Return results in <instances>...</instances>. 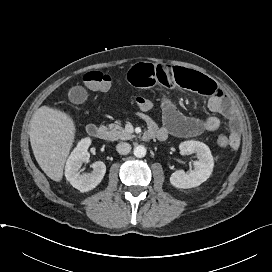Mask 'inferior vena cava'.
<instances>
[{"label":"inferior vena cava","instance_id":"1","mask_svg":"<svg viewBox=\"0 0 272 272\" xmlns=\"http://www.w3.org/2000/svg\"><path fill=\"white\" fill-rule=\"evenodd\" d=\"M116 150L119 154L127 155L131 150V145L127 142H121L117 144Z\"/></svg>","mask_w":272,"mask_h":272}]
</instances>
